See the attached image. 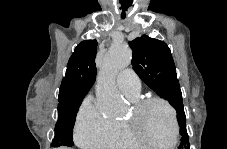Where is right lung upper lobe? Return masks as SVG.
<instances>
[{
	"label": "right lung upper lobe",
	"mask_w": 227,
	"mask_h": 149,
	"mask_svg": "<svg viewBox=\"0 0 227 149\" xmlns=\"http://www.w3.org/2000/svg\"><path fill=\"white\" fill-rule=\"evenodd\" d=\"M97 41L84 40L78 44L70 57L62 80L59 104L83 99L95 82Z\"/></svg>",
	"instance_id": "1"
}]
</instances>
